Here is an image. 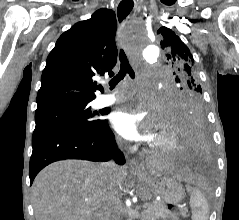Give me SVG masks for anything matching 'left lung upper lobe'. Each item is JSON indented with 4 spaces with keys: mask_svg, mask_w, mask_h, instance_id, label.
Segmentation results:
<instances>
[{
    "mask_svg": "<svg viewBox=\"0 0 239 220\" xmlns=\"http://www.w3.org/2000/svg\"><path fill=\"white\" fill-rule=\"evenodd\" d=\"M157 34L171 69L167 108L171 117L175 118L185 108L203 106L202 89L188 47L167 27L159 28Z\"/></svg>",
    "mask_w": 239,
    "mask_h": 220,
    "instance_id": "left-lung-upper-lobe-1",
    "label": "left lung upper lobe"
}]
</instances>
